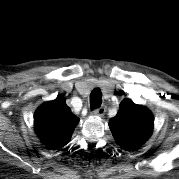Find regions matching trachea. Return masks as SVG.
Wrapping results in <instances>:
<instances>
[{"label": "trachea", "mask_w": 179, "mask_h": 179, "mask_svg": "<svg viewBox=\"0 0 179 179\" xmlns=\"http://www.w3.org/2000/svg\"><path fill=\"white\" fill-rule=\"evenodd\" d=\"M102 103V93L99 88H95L90 94V108L91 110L97 109Z\"/></svg>", "instance_id": "1"}]
</instances>
